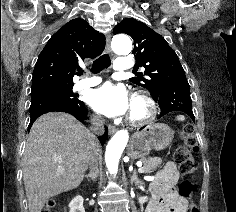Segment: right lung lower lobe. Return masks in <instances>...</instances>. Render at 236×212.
<instances>
[{
	"label": "right lung lower lobe",
	"mask_w": 236,
	"mask_h": 212,
	"mask_svg": "<svg viewBox=\"0 0 236 212\" xmlns=\"http://www.w3.org/2000/svg\"><path fill=\"white\" fill-rule=\"evenodd\" d=\"M48 112H66L75 116L79 121L87 119L88 111L82 104H70L61 100L52 99L47 96L33 95L31 96V106H30V124L28 126V131L30 130L33 122L41 115ZM108 137V130L105 128V133L99 136V140L102 144L105 143Z\"/></svg>",
	"instance_id": "98d812e1"
}]
</instances>
